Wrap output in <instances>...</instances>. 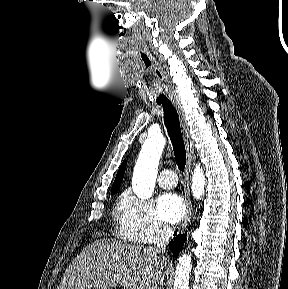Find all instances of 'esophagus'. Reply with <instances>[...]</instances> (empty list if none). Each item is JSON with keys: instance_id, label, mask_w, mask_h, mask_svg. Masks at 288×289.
Listing matches in <instances>:
<instances>
[{"instance_id": "1", "label": "esophagus", "mask_w": 288, "mask_h": 289, "mask_svg": "<svg viewBox=\"0 0 288 289\" xmlns=\"http://www.w3.org/2000/svg\"><path fill=\"white\" fill-rule=\"evenodd\" d=\"M173 105L175 109L177 110V113L179 115L180 124L182 127L185 145H186V152H187V164L185 169V182H186V190H185V200L187 205V210L185 213V216L182 221L181 228L182 230H185L187 226L190 223V219L192 216V204L190 199V193H189V174L191 171V164L192 160L194 159V143L190 135L189 126L186 121L185 113L182 109V106L179 101H173Z\"/></svg>"}]
</instances>
